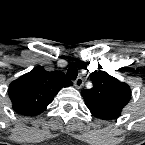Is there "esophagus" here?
<instances>
[{"label": "esophagus", "mask_w": 145, "mask_h": 145, "mask_svg": "<svg viewBox=\"0 0 145 145\" xmlns=\"http://www.w3.org/2000/svg\"><path fill=\"white\" fill-rule=\"evenodd\" d=\"M83 85V79L81 77H78L75 81H74V86L77 89H80Z\"/></svg>", "instance_id": "34e87169"}]
</instances>
